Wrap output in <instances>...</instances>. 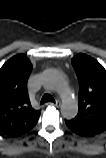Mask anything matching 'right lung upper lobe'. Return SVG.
I'll use <instances>...</instances> for the list:
<instances>
[{"instance_id":"1","label":"right lung upper lobe","mask_w":106,"mask_h":158,"mask_svg":"<svg viewBox=\"0 0 106 158\" xmlns=\"http://www.w3.org/2000/svg\"><path fill=\"white\" fill-rule=\"evenodd\" d=\"M32 65L24 54L9 59L0 69V133L18 137L37 123L40 110L30 103L27 81Z\"/></svg>"}]
</instances>
